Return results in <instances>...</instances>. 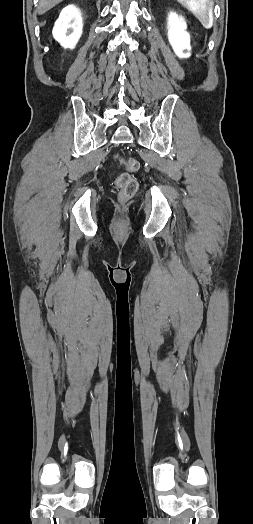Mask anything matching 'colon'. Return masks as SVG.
<instances>
[{
	"label": "colon",
	"instance_id": "5ec220e1",
	"mask_svg": "<svg viewBox=\"0 0 253 524\" xmlns=\"http://www.w3.org/2000/svg\"><path fill=\"white\" fill-rule=\"evenodd\" d=\"M115 160L118 165L127 170V172L120 174L115 181L119 196L122 200L130 199L138 188V182L130 172L138 169V162L135 159H123L118 156L115 157Z\"/></svg>",
	"mask_w": 253,
	"mask_h": 524
}]
</instances>
